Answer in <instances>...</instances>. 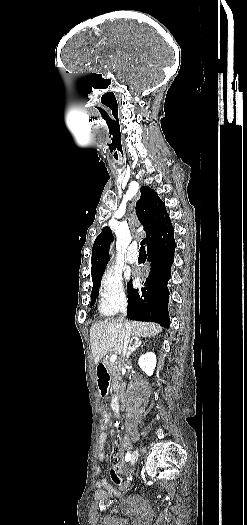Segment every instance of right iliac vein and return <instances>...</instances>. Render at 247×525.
<instances>
[{
    "label": "right iliac vein",
    "mask_w": 247,
    "mask_h": 525,
    "mask_svg": "<svg viewBox=\"0 0 247 525\" xmlns=\"http://www.w3.org/2000/svg\"><path fill=\"white\" fill-rule=\"evenodd\" d=\"M138 456H139L138 450H135L133 453L132 459L129 463V467H132L136 463Z\"/></svg>",
    "instance_id": "1"
}]
</instances>
